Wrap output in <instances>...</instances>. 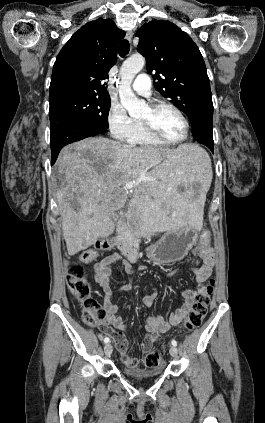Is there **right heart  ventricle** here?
I'll return each mask as SVG.
<instances>
[{
    "label": "right heart ventricle",
    "mask_w": 265,
    "mask_h": 423,
    "mask_svg": "<svg viewBox=\"0 0 265 423\" xmlns=\"http://www.w3.org/2000/svg\"><path fill=\"white\" fill-rule=\"evenodd\" d=\"M128 142L132 145H137L143 148H152L164 145L148 135L139 121H135V126Z\"/></svg>",
    "instance_id": "e07e8e85"
}]
</instances>
